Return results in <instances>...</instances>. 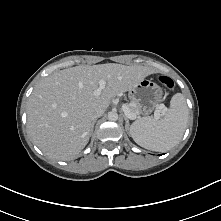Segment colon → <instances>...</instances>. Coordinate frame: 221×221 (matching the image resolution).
I'll return each mask as SVG.
<instances>
[{
    "label": "colon",
    "mask_w": 221,
    "mask_h": 221,
    "mask_svg": "<svg viewBox=\"0 0 221 221\" xmlns=\"http://www.w3.org/2000/svg\"><path fill=\"white\" fill-rule=\"evenodd\" d=\"M159 80L166 89L171 90L173 88V81L170 78L161 76Z\"/></svg>",
    "instance_id": "obj_1"
}]
</instances>
